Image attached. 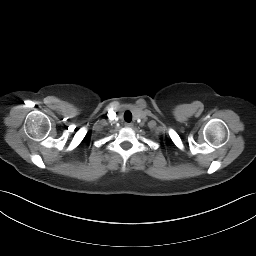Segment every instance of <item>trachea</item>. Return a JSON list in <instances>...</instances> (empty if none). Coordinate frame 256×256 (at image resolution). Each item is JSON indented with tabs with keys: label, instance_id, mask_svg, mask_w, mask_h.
Wrapping results in <instances>:
<instances>
[{
	"label": "trachea",
	"instance_id": "1",
	"mask_svg": "<svg viewBox=\"0 0 256 256\" xmlns=\"http://www.w3.org/2000/svg\"><path fill=\"white\" fill-rule=\"evenodd\" d=\"M124 119H125L126 122H131V120H132V114H131L130 111H126V112L124 113Z\"/></svg>",
	"mask_w": 256,
	"mask_h": 256
}]
</instances>
